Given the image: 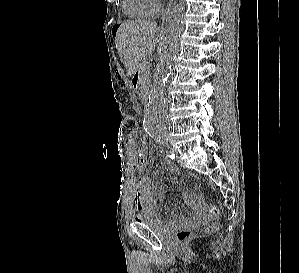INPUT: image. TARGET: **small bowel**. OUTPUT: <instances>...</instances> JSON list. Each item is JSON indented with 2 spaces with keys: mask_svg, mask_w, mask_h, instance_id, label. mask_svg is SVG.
<instances>
[{
  "mask_svg": "<svg viewBox=\"0 0 299 273\" xmlns=\"http://www.w3.org/2000/svg\"><path fill=\"white\" fill-rule=\"evenodd\" d=\"M147 153L148 150L146 149H142L140 151L137 163L135 165L136 170L142 171L145 168ZM169 168L171 171H175V168L172 164H169ZM165 198L166 190L164 188H160L158 191L157 199L162 202L165 200ZM183 199L187 206L192 210V217L201 214L203 206L201 201L196 196L189 193H184ZM134 203L137 212H140L145 209L153 211L158 210L155 205L154 194L151 190L150 179L147 176H141L138 178L136 185V193L134 195ZM174 221H178V219L175 217Z\"/></svg>",
  "mask_w": 299,
  "mask_h": 273,
  "instance_id": "1",
  "label": "small bowel"
}]
</instances>
